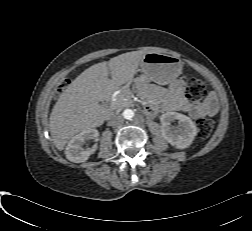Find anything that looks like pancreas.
<instances>
[{"mask_svg": "<svg viewBox=\"0 0 252 231\" xmlns=\"http://www.w3.org/2000/svg\"><path fill=\"white\" fill-rule=\"evenodd\" d=\"M127 99L125 98V97H120L119 99H118V105H120V106H124V105H126L127 104Z\"/></svg>", "mask_w": 252, "mask_h": 231, "instance_id": "1", "label": "pancreas"}]
</instances>
